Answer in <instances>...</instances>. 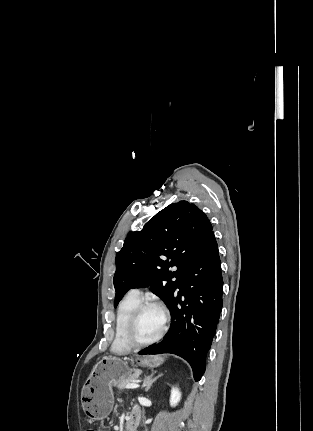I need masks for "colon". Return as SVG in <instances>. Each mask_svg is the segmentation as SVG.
Instances as JSON below:
<instances>
[{
    "label": "colon",
    "mask_w": 313,
    "mask_h": 431,
    "mask_svg": "<svg viewBox=\"0 0 313 431\" xmlns=\"http://www.w3.org/2000/svg\"><path fill=\"white\" fill-rule=\"evenodd\" d=\"M86 431H99L98 429H96V428H89V429H87Z\"/></svg>",
    "instance_id": "obj_1"
}]
</instances>
